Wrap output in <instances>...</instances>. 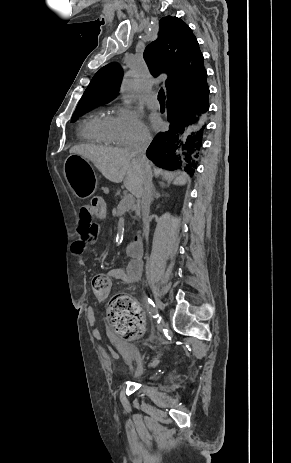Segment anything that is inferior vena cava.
Here are the masks:
<instances>
[{
	"instance_id": "obj_1",
	"label": "inferior vena cava",
	"mask_w": 291,
	"mask_h": 463,
	"mask_svg": "<svg viewBox=\"0 0 291 463\" xmlns=\"http://www.w3.org/2000/svg\"><path fill=\"white\" fill-rule=\"evenodd\" d=\"M151 142V136L146 133H140L137 141L128 148L129 153L143 166L144 168V179H143V188L141 192V212H142V221H143V232L148 242L149 236V212L150 204L152 200V171L150 163L145 155L146 149Z\"/></svg>"
}]
</instances>
